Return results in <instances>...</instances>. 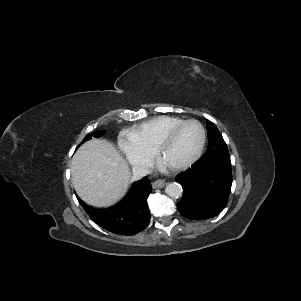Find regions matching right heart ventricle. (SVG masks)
<instances>
[{
  "mask_svg": "<svg viewBox=\"0 0 301 301\" xmlns=\"http://www.w3.org/2000/svg\"><path fill=\"white\" fill-rule=\"evenodd\" d=\"M183 121L176 116H157L133 126L127 134L143 149L153 153L160 136Z\"/></svg>",
  "mask_w": 301,
  "mask_h": 301,
  "instance_id": "e07e8e85",
  "label": "right heart ventricle"
}]
</instances>
